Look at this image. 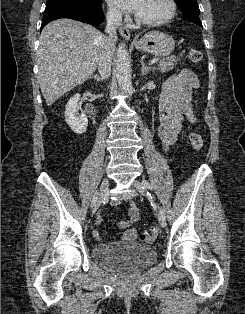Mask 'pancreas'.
Instances as JSON below:
<instances>
[{"label": "pancreas", "instance_id": "obj_1", "mask_svg": "<svg viewBox=\"0 0 245 314\" xmlns=\"http://www.w3.org/2000/svg\"><path fill=\"white\" fill-rule=\"evenodd\" d=\"M180 61V58L172 55L170 57L164 58L157 63V69L160 70L161 73H166L173 69V67ZM156 67H153V71Z\"/></svg>", "mask_w": 245, "mask_h": 314}]
</instances>
